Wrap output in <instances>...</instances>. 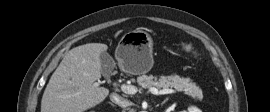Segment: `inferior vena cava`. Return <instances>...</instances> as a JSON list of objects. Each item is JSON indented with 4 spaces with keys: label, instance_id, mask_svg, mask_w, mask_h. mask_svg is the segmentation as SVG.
I'll use <instances>...</instances> for the list:
<instances>
[{
    "label": "inferior vena cava",
    "instance_id": "obj_1",
    "mask_svg": "<svg viewBox=\"0 0 270 112\" xmlns=\"http://www.w3.org/2000/svg\"><path fill=\"white\" fill-rule=\"evenodd\" d=\"M110 100H111L113 103H115V104H117V105H119V106H121V107H127V106L130 105V101H129V100H127V99H125V98L119 96V95L116 94V93H112V94L110 95Z\"/></svg>",
    "mask_w": 270,
    "mask_h": 112
}]
</instances>
